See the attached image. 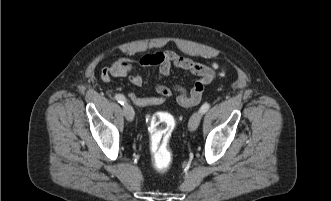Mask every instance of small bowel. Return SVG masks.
Listing matches in <instances>:
<instances>
[{"mask_svg":"<svg viewBox=\"0 0 331 201\" xmlns=\"http://www.w3.org/2000/svg\"><path fill=\"white\" fill-rule=\"evenodd\" d=\"M133 63H138L143 68L157 66L159 74L163 77H167L173 67L200 78L208 77L210 78V81L213 79L215 71H220V74L224 73V71L219 69V66L216 64L208 67L200 63H196L174 51H165L147 54L138 60L130 57L119 58L111 66L104 68L101 76L105 81H109L111 77L128 78L132 85L141 86L143 79L135 71ZM156 91L159 94L158 97L142 98L137 96L135 93H130L129 97L136 105L145 106L161 104L171 95L170 89L162 84L156 85ZM177 91L179 92L178 100L181 103V100L187 97V92L182 87H178Z\"/></svg>","mask_w":331,"mask_h":201,"instance_id":"1","label":"small bowel"}]
</instances>
